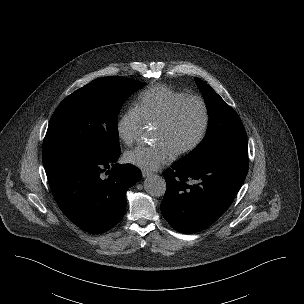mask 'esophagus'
<instances>
[{
  "instance_id": "obj_1",
  "label": "esophagus",
  "mask_w": 304,
  "mask_h": 304,
  "mask_svg": "<svg viewBox=\"0 0 304 304\" xmlns=\"http://www.w3.org/2000/svg\"><path fill=\"white\" fill-rule=\"evenodd\" d=\"M142 176L144 177V178H146V177H149V176H151L152 175V173L151 172H149V171H145V170H142Z\"/></svg>"
}]
</instances>
